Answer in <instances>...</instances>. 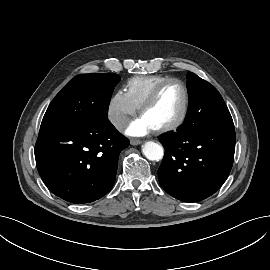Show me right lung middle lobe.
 I'll use <instances>...</instances> for the list:
<instances>
[{
    "instance_id": "obj_1",
    "label": "right lung middle lobe",
    "mask_w": 270,
    "mask_h": 270,
    "mask_svg": "<svg viewBox=\"0 0 270 270\" xmlns=\"http://www.w3.org/2000/svg\"><path fill=\"white\" fill-rule=\"evenodd\" d=\"M119 81L120 77L114 73L74 77L53 99L41 126L81 125L107 119L111 95Z\"/></svg>"
}]
</instances>
